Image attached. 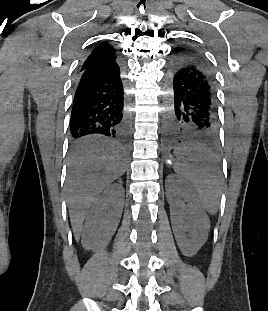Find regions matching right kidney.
Instances as JSON below:
<instances>
[{
  "instance_id": "right-kidney-1",
  "label": "right kidney",
  "mask_w": 268,
  "mask_h": 311,
  "mask_svg": "<svg viewBox=\"0 0 268 311\" xmlns=\"http://www.w3.org/2000/svg\"><path fill=\"white\" fill-rule=\"evenodd\" d=\"M123 207V186L115 183L107 187L87 215L81 239L85 249L95 251L109 243L120 222Z\"/></svg>"
}]
</instances>
